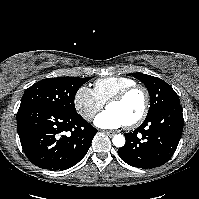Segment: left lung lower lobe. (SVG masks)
<instances>
[{
	"label": "left lung lower lobe",
	"instance_id": "1",
	"mask_svg": "<svg viewBox=\"0 0 199 199\" xmlns=\"http://www.w3.org/2000/svg\"><path fill=\"white\" fill-rule=\"evenodd\" d=\"M180 103L167 105L146 117L135 131L125 133L126 143L118 155L127 164L151 169L169 161L173 156L183 130Z\"/></svg>",
	"mask_w": 199,
	"mask_h": 199
}]
</instances>
